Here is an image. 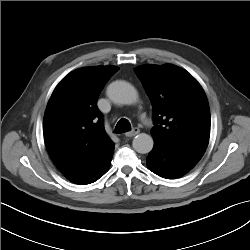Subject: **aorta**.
<instances>
[{"instance_id":"obj_1","label":"aorta","mask_w":250,"mask_h":250,"mask_svg":"<svg viewBox=\"0 0 250 250\" xmlns=\"http://www.w3.org/2000/svg\"><path fill=\"white\" fill-rule=\"evenodd\" d=\"M107 95L117 104L131 105L138 99L135 88L130 83L121 80L114 81L108 86ZM153 144V138L145 133L135 136L132 142L134 150L141 154L149 153Z\"/></svg>"}]
</instances>
